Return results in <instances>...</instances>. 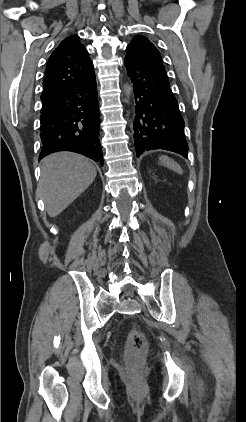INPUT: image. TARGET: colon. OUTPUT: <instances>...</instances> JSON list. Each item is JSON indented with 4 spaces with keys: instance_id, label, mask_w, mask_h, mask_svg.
I'll list each match as a JSON object with an SVG mask.
<instances>
[{
    "instance_id": "obj_1",
    "label": "colon",
    "mask_w": 246,
    "mask_h": 422,
    "mask_svg": "<svg viewBox=\"0 0 246 422\" xmlns=\"http://www.w3.org/2000/svg\"><path fill=\"white\" fill-rule=\"evenodd\" d=\"M147 351V340L142 332L133 329L130 331L126 342V359L129 365H139Z\"/></svg>"
}]
</instances>
